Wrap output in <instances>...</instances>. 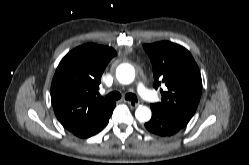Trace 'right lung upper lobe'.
I'll use <instances>...</instances> for the list:
<instances>
[{
	"label": "right lung upper lobe",
	"instance_id": "obj_1",
	"mask_svg": "<svg viewBox=\"0 0 249 165\" xmlns=\"http://www.w3.org/2000/svg\"><path fill=\"white\" fill-rule=\"evenodd\" d=\"M115 55L111 47L89 43L73 49L59 63L51 84V101L67 130L92 123L114 104L96 93L102 73Z\"/></svg>",
	"mask_w": 249,
	"mask_h": 165
}]
</instances>
